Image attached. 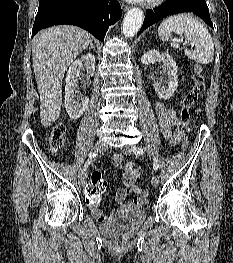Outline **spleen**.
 <instances>
[{
  "mask_svg": "<svg viewBox=\"0 0 233 263\" xmlns=\"http://www.w3.org/2000/svg\"><path fill=\"white\" fill-rule=\"evenodd\" d=\"M185 35L186 39L195 46L194 50L185 49V55L197 63L206 65L213 61L214 44L205 25L191 13H182L166 18L158 28V35L163 41H171L173 48L180 45L172 38V33Z\"/></svg>",
  "mask_w": 233,
  "mask_h": 263,
  "instance_id": "1",
  "label": "spleen"
}]
</instances>
